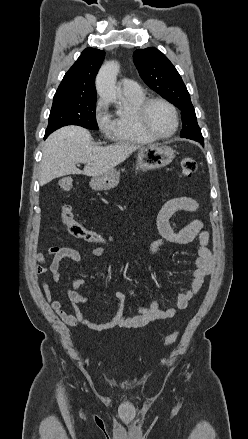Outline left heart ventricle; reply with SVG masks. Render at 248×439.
<instances>
[{
  "label": "left heart ventricle",
  "instance_id": "1",
  "mask_svg": "<svg viewBox=\"0 0 248 439\" xmlns=\"http://www.w3.org/2000/svg\"><path fill=\"white\" fill-rule=\"evenodd\" d=\"M147 120L150 127L158 134H168L174 127V119L170 109L159 102L150 105Z\"/></svg>",
  "mask_w": 248,
  "mask_h": 439
}]
</instances>
